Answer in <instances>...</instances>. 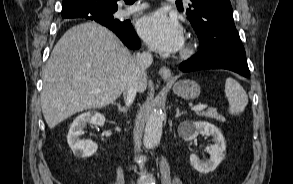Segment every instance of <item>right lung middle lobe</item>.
<instances>
[{"label": "right lung middle lobe", "instance_id": "obj_1", "mask_svg": "<svg viewBox=\"0 0 293 184\" xmlns=\"http://www.w3.org/2000/svg\"><path fill=\"white\" fill-rule=\"evenodd\" d=\"M102 4L98 3L97 0H82L80 6L85 9H93L100 7Z\"/></svg>", "mask_w": 293, "mask_h": 184}]
</instances>
